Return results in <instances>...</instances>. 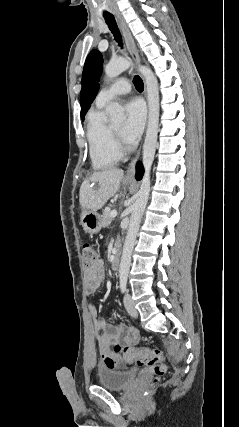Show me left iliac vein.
Returning a JSON list of instances; mask_svg holds the SVG:
<instances>
[{"label":"left iliac vein","mask_w":239,"mask_h":427,"mask_svg":"<svg viewBox=\"0 0 239 427\" xmlns=\"http://www.w3.org/2000/svg\"><path fill=\"white\" fill-rule=\"evenodd\" d=\"M124 306H125V308H126V310L130 316H132L134 318L138 317V311L135 308V305H134L133 300H132L129 293H126L124 295Z\"/></svg>","instance_id":"left-iliac-vein-1"}]
</instances>
